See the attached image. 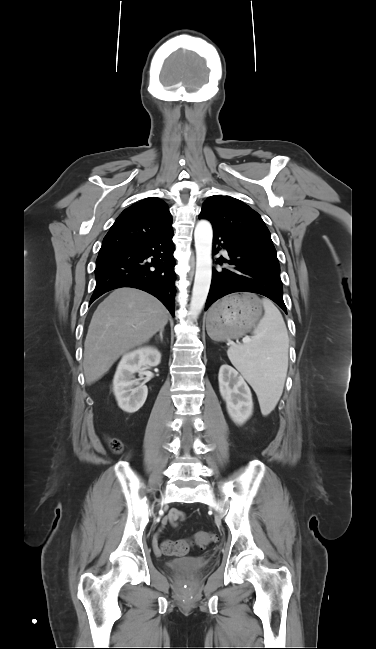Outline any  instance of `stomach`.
Instances as JSON below:
<instances>
[{
	"mask_svg": "<svg viewBox=\"0 0 376 649\" xmlns=\"http://www.w3.org/2000/svg\"><path fill=\"white\" fill-rule=\"evenodd\" d=\"M262 316V301L252 293L232 294L217 302L207 317V332L216 341L244 335Z\"/></svg>",
	"mask_w": 376,
	"mask_h": 649,
	"instance_id": "stomach-1",
	"label": "stomach"
}]
</instances>
